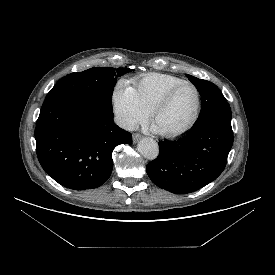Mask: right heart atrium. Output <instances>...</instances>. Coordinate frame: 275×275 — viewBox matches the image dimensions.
Wrapping results in <instances>:
<instances>
[{
    "instance_id": "right-heart-atrium-1",
    "label": "right heart atrium",
    "mask_w": 275,
    "mask_h": 275,
    "mask_svg": "<svg viewBox=\"0 0 275 275\" xmlns=\"http://www.w3.org/2000/svg\"><path fill=\"white\" fill-rule=\"evenodd\" d=\"M112 101L118 122L125 129L132 128L149 115V111L140 102L135 88L126 81H121L115 86Z\"/></svg>"
}]
</instances>
